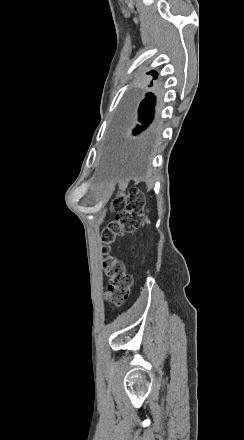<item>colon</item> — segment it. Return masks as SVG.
<instances>
[{
  "mask_svg": "<svg viewBox=\"0 0 244 440\" xmlns=\"http://www.w3.org/2000/svg\"><path fill=\"white\" fill-rule=\"evenodd\" d=\"M143 205L141 191L137 187L131 188L123 200L114 201L113 209L116 217L102 231L103 269L108 279L105 298L115 306H122L128 300L133 278L126 272L120 259L110 255L109 245L117 236L133 232L140 227L143 219Z\"/></svg>",
  "mask_w": 244,
  "mask_h": 440,
  "instance_id": "obj_1",
  "label": "colon"
}]
</instances>
